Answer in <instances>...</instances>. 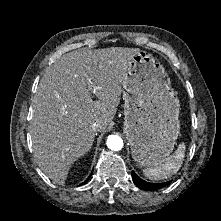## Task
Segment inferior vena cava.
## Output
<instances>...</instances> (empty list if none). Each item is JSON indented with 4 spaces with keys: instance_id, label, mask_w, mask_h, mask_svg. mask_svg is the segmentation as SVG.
<instances>
[{
    "instance_id": "inferior-vena-cava-1",
    "label": "inferior vena cava",
    "mask_w": 221,
    "mask_h": 221,
    "mask_svg": "<svg viewBox=\"0 0 221 221\" xmlns=\"http://www.w3.org/2000/svg\"><path fill=\"white\" fill-rule=\"evenodd\" d=\"M100 128H101V124H100L99 122H94V123L92 124V129H93L94 131H98Z\"/></svg>"
}]
</instances>
